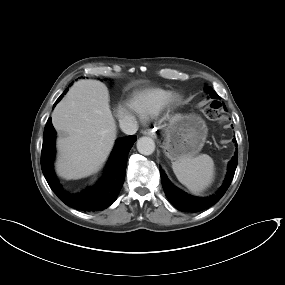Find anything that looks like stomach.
<instances>
[{
	"label": "stomach",
	"instance_id": "0dacf381",
	"mask_svg": "<svg viewBox=\"0 0 285 285\" xmlns=\"http://www.w3.org/2000/svg\"><path fill=\"white\" fill-rule=\"evenodd\" d=\"M164 154L171 161L194 156L203 147L207 126L199 116L189 114L172 119L165 128Z\"/></svg>",
	"mask_w": 285,
	"mask_h": 285
}]
</instances>
